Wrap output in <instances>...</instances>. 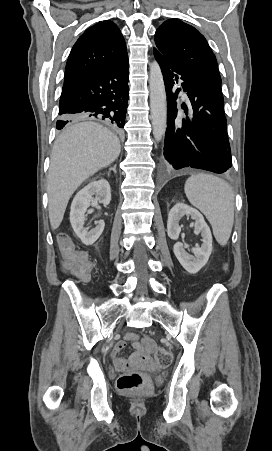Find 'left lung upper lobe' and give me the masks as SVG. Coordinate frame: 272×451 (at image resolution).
<instances>
[{
	"instance_id": "5c2ea615",
	"label": "left lung upper lobe",
	"mask_w": 272,
	"mask_h": 451,
	"mask_svg": "<svg viewBox=\"0 0 272 451\" xmlns=\"http://www.w3.org/2000/svg\"><path fill=\"white\" fill-rule=\"evenodd\" d=\"M156 48L223 100L217 61L204 36L178 19L165 21L155 33Z\"/></svg>"
}]
</instances>
